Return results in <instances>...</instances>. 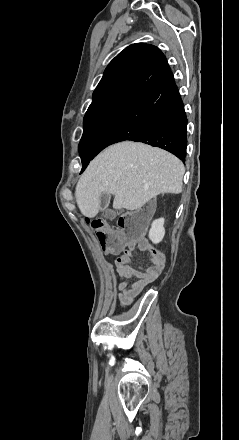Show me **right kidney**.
Segmentation results:
<instances>
[{
  "label": "right kidney",
  "mask_w": 239,
  "mask_h": 440,
  "mask_svg": "<svg viewBox=\"0 0 239 440\" xmlns=\"http://www.w3.org/2000/svg\"><path fill=\"white\" fill-rule=\"evenodd\" d=\"M164 236H165L164 218H159V220H154L149 230L150 240H153V242H161Z\"/></svg>",
  "instance_id": "ca27d5eb"
}]
</instances>
